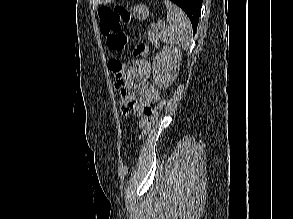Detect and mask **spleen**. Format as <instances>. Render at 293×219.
Listing matches in <instances>:
<instances>
[{"mask_svg": "<svg viewBox=\"0 0 293 219\" xmlns=\"http://www.w3.org/2000/svg\"><path fill=\"white\" fill-rule=\"evenodd\" d=\"M167 8V23L159 36L170 45H179L187 50L192 42V25L187 15L169 0H164Z\"/></svg>", "mask_w": 293, "mask_h": 219, "instance_id": "obj_1", "label": "spleen"}]
</instances>
